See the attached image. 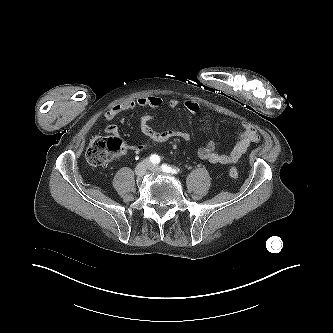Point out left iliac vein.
I'll list each match as a JSON object with an SVG mask.
<instances>
[{
    "mask_svg": "<svg viewBox=\"0 0 333 333\" xmlns=\"http://www.w3.org/2000/svg\"><path fill=\"white\" fill-rule=\"evenodd\" d=\"M149 169L153 172H158V173L162 171L161 167L158 165H151Z\"/></svg>",
    "mask_w": 333,
    "mask_h": 333,
    "instance_id": "1",
    "label": "left iliac vein"
}]
</instances>
